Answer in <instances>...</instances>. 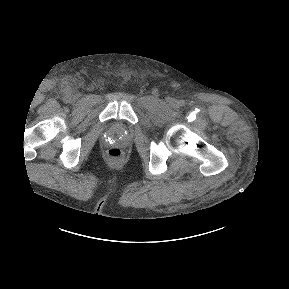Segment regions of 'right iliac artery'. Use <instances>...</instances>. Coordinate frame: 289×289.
<instances>
[{
  "label": "right iliac artery",
  "instance_id": "82829eb1",
  "mask_svg": "<svg viewBox=\"0 0 289 289\" xmlns=\"http://www.w3.org/2000/svg\"><path fill=\"white\" fill-rule=\"evenodd\" d=\"M69 99H70L69 96L65 97V101H69Z\"/></svg>",
  "mask_w": 289,
  "mask_h": 289
}]
</instances>
